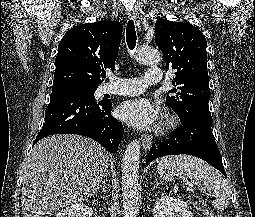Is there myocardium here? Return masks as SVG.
Listing matches in <instances>:
<instances>
[{"label":"myocardium","mask_w":255,"mask_h":217,"mask_svg":"<svg viewBox=\"0 0 255 217\" xmlns=\"http://www.w3.org/2000/svg\"><path fill=\"white\" fill-rule=\"evenodd\" d=\"M177 123H178V120L176 118H174V117L170 118V120H169L170 126H175V125H177Z\"/></svg>","instance_id":"obj_1"}]
</instances>
